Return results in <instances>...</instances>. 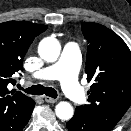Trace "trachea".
<instances>
[{"label":"trachea","mask_w":131,"mask_h":131,"mask_svg":"<svg viewBox=\"0 0 131 131\" xmlns=\"http://www.w3.org/2000/svg\"><path fill=\"white\" fill-rule=\"evenodd\" d=\"M23 89V88H20ZM28 94L32 95H47L52 98H57V91L51 87H45L43 85H34L29 88L23 89Z\"/></svg>","instance_id":"3493384b"}]
</instances>
